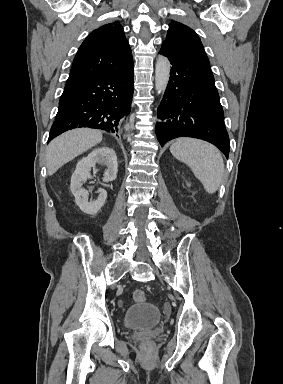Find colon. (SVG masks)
<instances>
[{"label":"colon","instance_id":"colon-1","mask_svg":"<svg viewBox=\"0 0 283 384\" xmlns=\"http://www.w3.org/2000/svg\"><path fill=\"white\" fill-rule=\"evenodd\" d=\"M147 299V295H146V292L142 289H136L134 292H133V300L136 302V303H143L145 302Z\"/></svg>","mask_w":283,"mask_h":384}]
</instances>
